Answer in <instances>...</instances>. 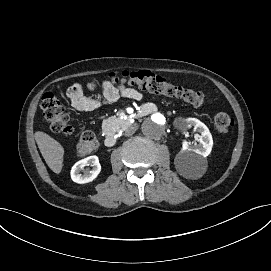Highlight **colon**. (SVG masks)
<instances>
[{
    "label": "colon",
    "mask_w": 271,
    "mask_h": 271,
    "mask_svg": "<svg viewBox=\"0 0 271 271\" xmlns=\"http://www.w3.org/2000/svg\"><path fill=\"white\" fill-rule=\"evenodd\" d=\"M110 78L114 83L138 86L150 93L177 99L194 106L203 105L207 100L204 92L175 85L149 71H124L121 75L110 74ZM40 107L44 117L50 122L53 132L63 134L73 132L69 115L53 93L47 92L42 96ZM213 125L218 132L225 133L234 126V118L227 112L219 111L213 118ZM97 148L96 136L90 131H84L75 148V154L78 157H86L93 154Z\"/></svg>",
    "instance_id": "obj_1"
}]
</instances>
